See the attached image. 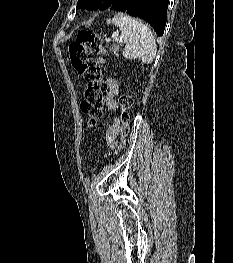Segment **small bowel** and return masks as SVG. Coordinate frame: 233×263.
I'll return each instance as SVG.
<instances>
[{
    "label": "small bowel",
    "mask_w": 233,
    "mask_h": 263,
    "mask_svg": "<svg viewBox=\"0 0 233 263\" xmlns=\"http://www.w3.org/2000/svg\"><path fill=\"white\" fill-rule=\"evenodd\" d=\"M98 64H103L104 60L102 58L97 59ZM106 105L109 111L113 112L117 109V102L115 96L119 93V85L116 79L108 78L106 80ZM121 134V127L119 122L116 119H113L110 126L107 128L105 133V139L107 144L111 148L117 147V139Z\"/></svg>",
    "instance_id": "1"
}]
</instances>
